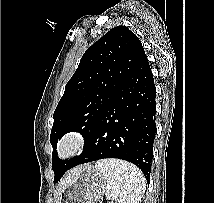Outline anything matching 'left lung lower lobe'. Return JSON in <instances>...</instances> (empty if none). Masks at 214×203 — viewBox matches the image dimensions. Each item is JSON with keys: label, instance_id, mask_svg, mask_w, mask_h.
Listing matches in <instances>:
<instances>
[{"label": "left lung lower lobe", "instance_id": "1", "mask_svg": "<svg viewBox=\"0 0 214 203\" xmlns=\"http://www.w3.org/2000/svg\"><path fill=\"white\" fill-rule=\"evenodd\" d=\"M156 88L146 55L99 116L83 152L67 170L104 158H118L139 167L147 181L153 159Z\"/></svg>", "mask_w": 214, "mask_h": 203}]
</instances>
